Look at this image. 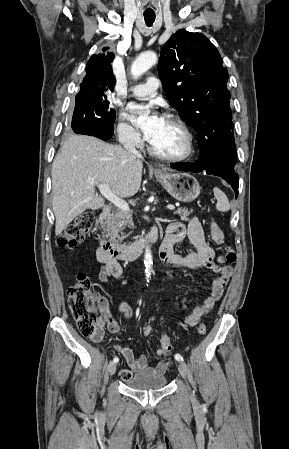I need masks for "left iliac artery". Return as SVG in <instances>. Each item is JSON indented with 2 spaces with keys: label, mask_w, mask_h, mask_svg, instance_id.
<instances>
[{
  "label": "left iliac artery",
  "mask_w": 289,
  "mask_h": 449,
  "mask_svg": "<svg viewBox=\"0 0 289 449\" xmlns=\"http://www.w3.org/2000/svg\"><path fill=\"white\" fill-rule=\"evenodd\" d=\"M175 359L177 361H183V357L180 354H175Z\"/></svg>",
  "instance_id": "1"
}]
</instances>
